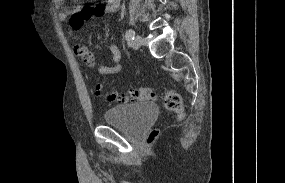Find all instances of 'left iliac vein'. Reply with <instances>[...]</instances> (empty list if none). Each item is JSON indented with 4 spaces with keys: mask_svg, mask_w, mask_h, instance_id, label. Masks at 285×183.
Masks as SVG:
<instances>
[{
    "mask_svg": "<svg viewBox=\"0 0 285 183\" xmlns=\"http://www.w3.org/2000/svg\"><path fill=\"white\" fill-rule=\"evenodd\" d=\"M143 43V38L140 35H137L134 39V41L132 42V47L134 49H139L141 47Z\"/></svg>",
    "mask_w": 285,
    "mask_h": 183,
    "instance_id": "4c4485c4",
    "label": "left iliac vein"
}]
</instances>
